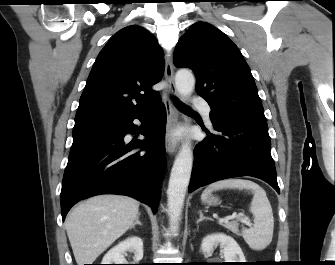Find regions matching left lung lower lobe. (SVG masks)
<instances>
[{
    "mask_svg": "<svg viewBox=\"0 0 335 265\" xmlns=\"http://www.w3.org/2000/svg\"><path fill=\"white\" fill-rule=\"evenodd\" d=\"M210 118L215 133L206 131L208 137L195 147L188 191L222 179L253 176L280 193L269 134L212 111Z\"/></svg>",
    "mask_w": 335,
    "mask_h": 265,
    "instance_id": "1",
    "label": "left lung lower lobe"
}]
</instances>
